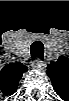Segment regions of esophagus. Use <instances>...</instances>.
I'll use <instances>...</instances> for the list:
<instances>
[{
    "label": "esophagus",
    "mask_w": 69,
    "mask_h": 101,
    "mask_svg": "<svg viewBox=\"0 0 69 101\" xmlns=\"http://www.w3.org/2000/svg\"><path fill=\"white\" fill-rule=\"evenodd\" d=\"M32 66L35 70H43L46 64L43 61H35Z\"/></svg>",
    "instance_id": "esophagus-1"
}]
</instances>
